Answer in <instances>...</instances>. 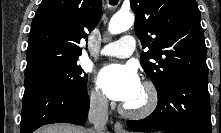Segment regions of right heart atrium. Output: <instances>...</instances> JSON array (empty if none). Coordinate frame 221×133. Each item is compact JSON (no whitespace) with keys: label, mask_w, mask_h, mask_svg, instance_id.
<instances>
[{"label":"right heart atrium","mask_w":221,"mask_h":133,"mask_svg":"<svg viewBox=\"0 0 221 133\" xmlns=\"http://www.w3.org/2000/svg\"><path fill=\"white\" fill-rule=\"evenodd\" d=\"M90 106L97 111H105L107 109L108 101L104 94L96 87H91L89 90Z\"/></svg>","instance_id":"obj_1"}]
</instances>
